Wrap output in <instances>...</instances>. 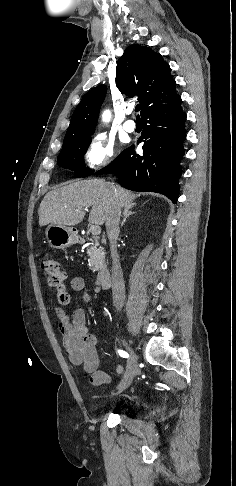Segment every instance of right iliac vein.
<instances>
[{
    "mask_svg": "<svg viewBox=\"0 0 236 486\" xmlns=\"http://www.w3.org/2000/svg\"><path fill=\"white\" fill-rule=\"evenodd\" d=\"M123 342H124V345L126 346V348L128 349V351L130 352L131 357L127 362V369H126V372L124 374V377H123L122 381L120 382V384L118 386L119 390H124V389L128 388L130 386V384L132 383L133 378L135 377V375L138 372V368H137V364H136V357H135L134 351L132 350V348L128 345V343L125 340Z\"/></svg>",
    "mask_w": 236,
    "mask_h": 486,
    "instance_id": "1",
    "label": "right iliac vein"
}]
</instances>
